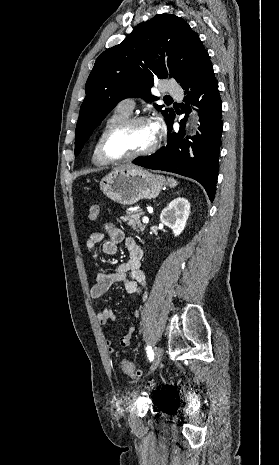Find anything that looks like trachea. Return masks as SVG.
<instances>
[{
    "label": "trachea",
    "instance_id": "3493384b",
    "mask_svg": "<svg viewBox=\"0 0 279 465\" xmlns=\"http://www.w3.org/2000/svg\"><path fill=\"white\" fill-rule=\"evenodd\" d=\"M168 100H171L172 98L171 97H167Z\"/></svg>",
    "mask_w": 279,
    "mask_h": 465
}]
</instances>
